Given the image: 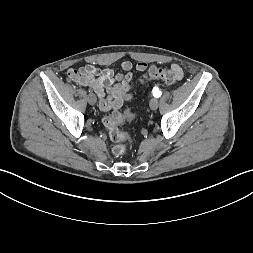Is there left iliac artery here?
Here are the masks:
<instances>
[{"label":"left iliac artery","mask_w":253,"mask_h":253,"mask_svg":"<svg viewBox=\"0 0 253 253\" xmlns=\"http://www.w3.org/2000/svg\"><path fill=\"white\" fill-rule=\"evenodd\" d=\"M161 94H162L161 91H159L157 87H154V88H153V95H154L155 97H160Z\"/></svg>","instance_id":"left-iliac-artery-1"}]
</instances>
